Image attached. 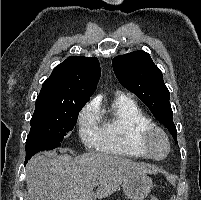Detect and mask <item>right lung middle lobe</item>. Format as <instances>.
<instances>
[{
  "label": "right lung middle lobe",
  "instance_id": "dd1d6c3e",
  "mask_svg": "<svg viewBox=\"0 0 201 200\" xmlns=\"http://www.w3.org/2000/svg\"><path fill=\"white\" fill-rule=\"evenodd\" d=\"M87 102L88 99L62 100L38 96L26 142H61L73 130L78 114Z\"/></svg>",
  "mask_w": 201,
  "mask_h": 200
}]
</instances>
